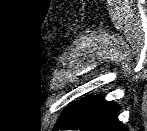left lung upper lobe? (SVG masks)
<instances>
[{"label":"left lung upper lobe","mask_w":147,"mask_h":131,"mask_svg":"<svg viewBox=\"0 0 147 131\" xmlns=\"http://www.w3.org/2000/svg\"><path fill=\"white\" fill-rule=\"evenodd\" d=\"M89 99H83L81 101H77L73 105L69 106L64 112L61 114L57 124L65 122L69 117L73 116Z\"/></svg>","instance_id":"1"}]
</instances>
